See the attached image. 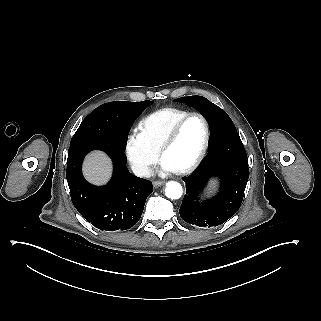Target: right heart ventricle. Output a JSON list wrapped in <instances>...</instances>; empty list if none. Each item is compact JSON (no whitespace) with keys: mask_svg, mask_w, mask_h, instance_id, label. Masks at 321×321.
<instances>
[{"mask_svg":"<svg viewBox=\"0 0 321 321\" xmlns=\"http://www.w3.org/2000/svg\"><path fill=\"white\" fill-rule=\"evenodd\" d=\"M190 113L189 110L180 107L157 109L141 119L139 122L140 132L158 150L160 142L172 125Z\"/></svg>","mask_w":321,"mask_h":321,"instance_id":"right-heart-ventricle-1","label":"right heart ventricle"}]
</instances>
